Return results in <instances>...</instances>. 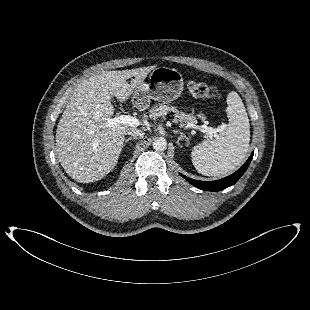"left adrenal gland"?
<instances>
[{"instance_id":"obj_1","label":"left adrenal gland","mask_w":310,"mask_h":310,"mask_svg":"<svg viewBox=\"0 0 310 310\" xmlns=\"http://www.w3.org/2000/svg\"><path fill=\"white\" fill-rule=\"evenodd\" d=\"M174 133H175V134H177V133L180 134V136L178 137V140H177V143H178V144H180L179 142H180L181 140H184V139L186 138V135L183 134V132H181V131L174 130Z\"/></svg>"}]
</instances>
